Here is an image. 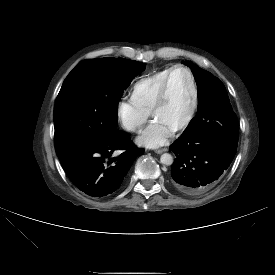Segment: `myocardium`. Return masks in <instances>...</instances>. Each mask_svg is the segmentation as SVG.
Wrapping results in <instances>:
<instances>
[{
    "label": "myocardium",
    "mask_w": 275,
    "mask_h": 275,
    "mask_svg": "<svg viewBox=\"0 0 275 275\" xmlns=\"http://www.w3.org/2000/svg\"><path fill=\"white\" fill-rule=\"evenodd\" d=\"M176 70H184L188 74L190 83H191L192 94H193L191 108H190V111H189L187 117L184 119V121L182 123H180L176 128H174L175 132H179V131L186 129L190 125L192 120L194 119L196 111H197V107H198V101H199L197 83H196V80H195V77H194L192 71L188 67H186L184 65H175L170 69V71L168 72V74L162 84V87L159 91V94L157 96V99L154 103V106H153L151 112H152V115H154V113L158 109H160L163 106V104L165 103V101L167 99V95H168V90H169V81H170L172 74Z\"/></svg>",
    "instance_id": "myocardium-1"
}]
</instances>
